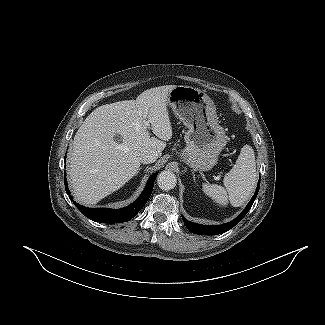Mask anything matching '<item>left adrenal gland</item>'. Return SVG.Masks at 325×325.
<instances>
[{
    "label": "left adrenal gland",
    "mask_w": 325,
    "mask_h": 325,
    "mask_svg": "<svg viewBox=\"0 0 325 325\" xmlns=\"http://www.w3.org/2000/svg\"><path fill=\"white\" fill-rule=\"evenodd\" d=\"M193 180H194V182H196V181H195L196 179H195V174H194V172H193Z\"/></svg>",
    "instance_id": "1"
}]
</instances>
